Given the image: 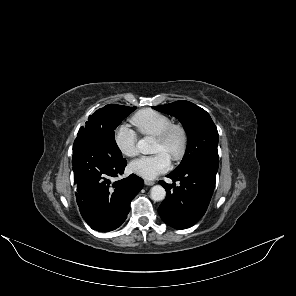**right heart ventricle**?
Wrapping results in <instances>:
<instances>
[{
	"label": "right heart ventricle",
	"instance_id": "obj_1",
	"mask_svg": "<svg viewBox=\"0 0 296 296\" xmlns=\"http://www.w3.org/2000/svg\"><path fill=\"white\" fill-rule=\"evenodd\" d=\"M131 122L142 135L151 137H157L172 124L170 117L154 110L138 112Z\"/></svg>",
	"mask_w": 296,
	"mask_h": 296
}]
</instances>
